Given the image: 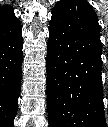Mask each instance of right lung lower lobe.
Returning <instances> with one entry per match:
<instances>
[{"instance_id": "obj_1", "label": "right lung lower lobe", "mask_w": 108, "mask_h": 127, "mask_svg": "<svg viewBox=\"0 0 108 127\" xmlns=\"http://www.w3.org/2000/svg\"><path fill=\"white\" fill-rule=\"evenodd\" d=\"M23 39L17 18L0 21V126L12 127L20 93Z\"/></svg>"}]
</instances>
